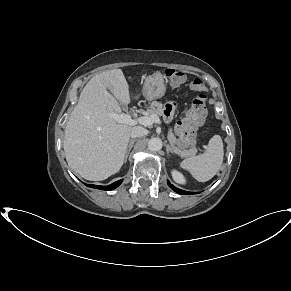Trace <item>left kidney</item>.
Listing matches in <instances>:
<instances>
[{"label": "left kidney", "instance_id": "5707ae66", "mask_svg": "<svg viewBox=\"0 0 291 291\" xmlns=\"http://www.w3.org/2000/svg\"><path fill=\"white\" fill-rule=\"evenodd\" d=\"M171 174H172V178L173 180L176 182V183H179V184H185L186 183V179L185 177L183 176L182 173H180L179 171L173 169L171 171Z\"/></svg>", "mask_w": 291, "mask_h": 291}]
</instances>
